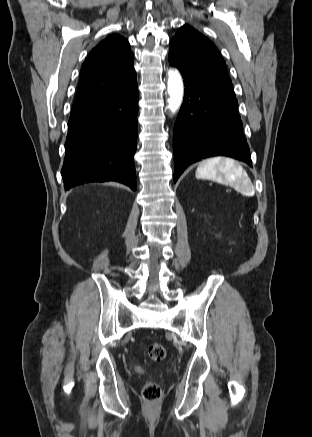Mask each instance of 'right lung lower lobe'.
<instances>
[{"mask_svg":"<svg viewBox=\"0 0 312 437\" xmlns=\"http://www.w3.org/2000/svg\"><path fill=\"white\" fill-rule=\"evenodd\" d=\"M137 112L136 75L115 92L71 110L61 171L66 190L106 181L137 189Z\"/></svg>","mask_w":312,"mask_h":437,"instance_id":"98d812e1","label":"right lung lower lobe"}]
</instances>
